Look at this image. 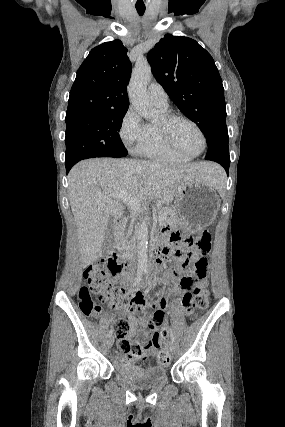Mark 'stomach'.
<instances>
[{"label": "stomach", "mask_w": 285, "mask_h": 427, "mask_svg": "<svg viewBox=\"0 0 285 427\" xmlns=\"http://www.w3.org/2000/svg\"><path fill=\"white\" fill-rule=\"evenodd\" d=\"M176 197L177 218L185 230L194 232L215 220L220 199L216 188L210 184L187 182L180 186Z\"/></svg>", "instance_id": "obj_1"}]
</instances>
